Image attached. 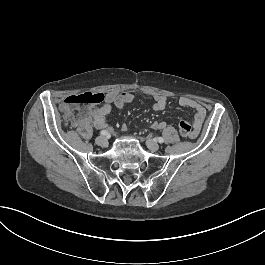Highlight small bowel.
Listing matches in <instances>:
<instances>
[{
  "instance_id": "obj_1",
  "label": "small bowel",
  "mask_w": 265,
  "mask_h": 265,
  "mask_svg": "<svg viewBox=\"0 0 265 265\" xmlns=\"http://www.w3.org/2000/svg\"><path fill=\"white\" fill-rule=\"evenodd\" d=\"M135 99V94L130 91L118 92L110 91L106 94L103 104L96 108H84L81 110V116L79 119L72 120L74 126L80 128H85L89 125H94L97 129H103L107 126V118L112 110V106L122 109L125 105L133 102ZM154 104L153 109L155 111H163L166 107L167 98L164 95L156 94L153 96ZM178 104L183 108H189L193 110L194 114L188 117L190 124L192 126L193 136L191 138H196L206 117V109L204 106L187 96H181L178 100ZM153 128L156 130L163 129L166 127L164 121H156L153 123ZM122 131L127 130V125L123 124L121 126Z\"/></svg>"
}]
</instances>
